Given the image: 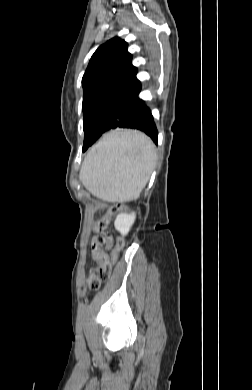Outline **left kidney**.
<instances>
[{
    "label": "left kidney",
    "instance_id": "left-kidney-1",
    "mask_svg": "<svg viewBox=\"0 0 252 390\" xmlns=\"http://www.w3.org/2000/svg\"><path fill=\"white\" fill-rule=\"evenodd\" d=\"M135 214H118L114 226L117 231H119L122 235H127L135 221Z\"/></svg>",
    "mask_w": 252,
    "mask_h": 390
}]
</instances>
